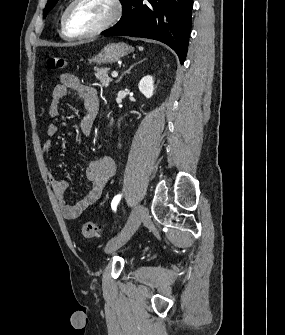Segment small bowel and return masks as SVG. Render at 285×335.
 <instances>
[{"label":"small bowel","mask_w":285,"mask_h":335,"mask_svg":"<svg viewBox=\"0 0 285 335\" xmlns=\"http://www.w3.org/2000/svg\"><path fill=\"white\" fill-rule=\"evenodd\" d=\"M68 90L74 91L83 101L86 114L81 122L83 134L89 136L93 133L95 124V114L99 107V98L94 88L84 85L72 74H62L60 83L52 91V98L48 113L52 118H58L60 115V102L67 95ZM59 127L52 122L47 126L46 133L48 140L42 146V152L49 156L53 152L52 138L58 134ZM114 172V163L107 156H101L96 160L89 162L86 167V178L91 182V187L86 195L74 205L66 203L65 195L67 182L64 179L56 178L49 174V181L53 193L61 207L62 214L67 220L77 219L86 209L93 205L101 196L109 177Z\"/></svg>","instance_id":"obj_1"}]
</instances>
